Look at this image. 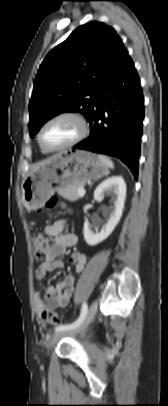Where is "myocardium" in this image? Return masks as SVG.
<instances>
[{"label": "myocardium", "mask_w": 168, "mask_h": 406, "mask_svg": "<svg viewBox=\"0 0 168 406\" xmlns=\"http://www.w3.org/2000/svg\"><path fill=\"white\" fill-rule=\"evenodd\" d=\"M60 119H71L73 121H75L78 124L79 127V132L77 134V136L75 138H73L70 142H68L67 144L63 145V146H59V147H49L47 145H45V143L43 142V131L46 128V126L56 120H60ZM89 133V125L87 123V120L85 119V117L80 114L79 112L76 111H62L59 112L53 116H51L49 119H47L43 125L41 126V128L39 129L38 135H37V140L38 143L40 145V147L47 151V152H56V151H62L68 148H71L75 145H77L78 143H80L81 141H83L87 135Z\"/></svg>", "instance_id": "obj_1"}]
</instances>
